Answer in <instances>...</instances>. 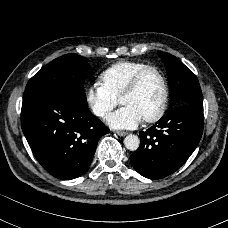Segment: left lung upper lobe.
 Listing matches in <instances>:
<instances>
[{"label":"left lung upper lobe","mask_w":228,"mask_h":228,"mask_svg":"<svg viewBox=\"0 0 228 228\" xmlns=\"http://www.w3.org/2000/svg\"><path fill=\"white\" fill-rule=\"evenodd\" d=\"M165 63L170 86L169 109L184 104H203L202 91L195 74L175 56L158 51Z\"/></svg>","instance_id":"left-lung-upper-lobe-1"}]
</instances>
